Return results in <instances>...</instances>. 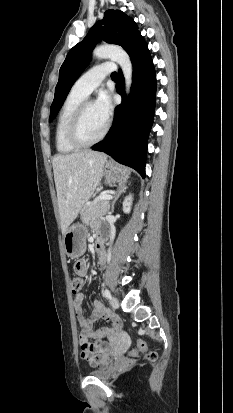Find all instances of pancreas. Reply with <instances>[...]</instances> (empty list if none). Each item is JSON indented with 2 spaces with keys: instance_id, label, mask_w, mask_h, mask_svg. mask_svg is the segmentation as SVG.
I'll return each instance as SVG.
<instances>
[{
  "instance_id": "obj_1",
  "label": "pancreas",
  "mask_w": 233,
  "mask_h": 413,
  "mask_svg": "<svg viewBox=\"0 0 233 413\" xmlns=\"http://www.w3.org/2000/svg\"><path fill=\"white\" fill-rule=\"evenodd\" d=\"M109 201L108 200H98L83 207L81 211V220L84 224H88L95 218L105 215L108 213Z\"/></svg>"
}]
</instances>
